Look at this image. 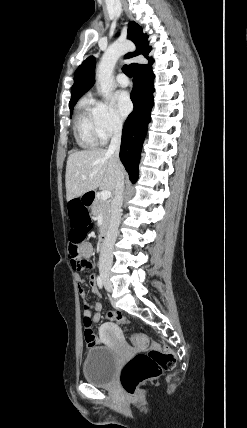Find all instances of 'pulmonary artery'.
I'll return each mask as SVG.
<instances>
[{"instance_id": "e3ab8cb5", "label": "pulmonary artery", "mask_w": 247, "mask_h": 428, "mask_svg": "<svg viewBox=\"0 0 247 428\" xmlns=\"http://www.w3.org/2000/svg\"><path fill=\"white\" fill-rule=\"evenodd\" d=\"M117 82L121 87H127L129 85V79L127 78V76L123 73H120L117 76Z\"/></svg>"}]
</instances>
